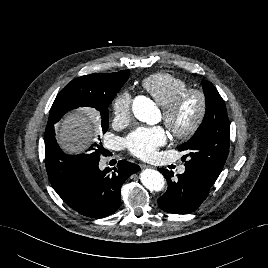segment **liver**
I'll use <instances>...</instances> for the list:
<instances>
[{"instance_id": "6515ba94", "label": "liver", "mask_w": 268, "mask_h": 268, "mask_svg": "<svg viewBox=\"0 0 268 268\" xmlns=\"http://www.w3.org/2000/svg\"><path fill=\"white\" fill-rule=\"evenodd\" d=\"M56 130L58 143L68 152L83 150L96 136L90 114L84 109L68 114Z\"/></svg>"}]
</instances>
